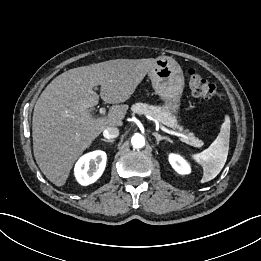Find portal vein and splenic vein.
<instances>
[{
    "label": "portal vein and splenic vein",
    "instance_id": "portal-vein-and-splenic-vein-1",
    "mask_svg": "<svg viewBox=\"0 0 261 261\" xmlns=\"http://www.w3.org/2000/svg\"><path fill=\"white\" fill-rule=\"evenodd\" d=\"M105 112H106L105 108L101 107V108L99 109V113H100L101 115H104ZM160 128H161V130H163L164 132H166V133H168V134L175 135V136H178V137L187 139V136H185V135L182 134V133H179V132H176V131L167 129V128H165L164 126H161Z\"/></svg>",
    "mask_w": 261,
    "mask_h": 261
}]
</instances>
